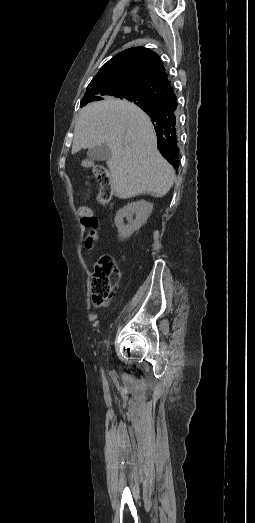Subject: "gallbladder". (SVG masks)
I'll return each mask as SVG.
<instances>
[{
  "label": "gallbladder",
  "mask_w": 255,
  "mask_h": 523,
  "mask_svg": "<svg viewBox=\"0 0 255 523\" xmlns=\"http://www.w3.org/2000/svg\"><path fill=\"white\" fill-rule=\"evenodd\" d=\"M87 156L90 160L103 162V160H111L112 152L109 150L107 144H100V146H95V148H89Z\"/></svg>",
  "instance_id": "gallbladder-1"
}]
</instances>
